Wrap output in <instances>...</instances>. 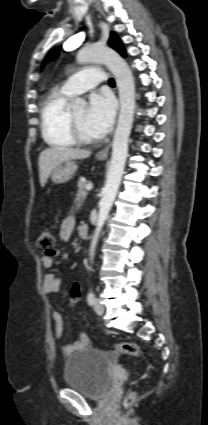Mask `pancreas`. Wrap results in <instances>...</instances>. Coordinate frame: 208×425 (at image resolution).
<instances>
[{"label":"pancreas","instance_id":"1","mask_svg":"<svg viewBox=\"0 0 208 425\" xmlns=\"http://www.w3.org/2000/svg\"><path fill=\"white\" fill-rule=\"evenodd\" d=\"M86 184H87V181L85 180L80 179L78 181V190H77L76 199H75L76 205H81L87 196V192L84 190Z\"/></svg>","mask_w":208,"mask_h":425}]
</instances>
